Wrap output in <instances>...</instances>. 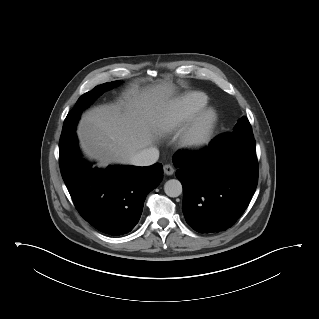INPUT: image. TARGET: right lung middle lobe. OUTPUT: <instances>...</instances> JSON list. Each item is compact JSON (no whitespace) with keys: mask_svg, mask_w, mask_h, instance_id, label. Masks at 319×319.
<instances>
[{"mask_svg":"<svg viewBox=\"0 0 319 319\" xmlns=\"http://www.w3.org/2000/svg\"><path fill=\"white\" fill-rule=\"evenodd\" d=\"M119 83V81H113L101 84L99 86H96L92 91L85 93L78 99L75 107L68 113L64 121L59 146L65 144L70 139V137L75 134V128L80 117V113L85 108H87L94 100H96L101 94H103L107 90L112 89L113 87L118 86Z\"/></svg>","mask_w":319,"mask_h":319,"instance_id":"1","label":"right lung middle lobe"}]
</instances>
